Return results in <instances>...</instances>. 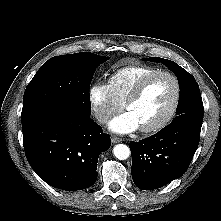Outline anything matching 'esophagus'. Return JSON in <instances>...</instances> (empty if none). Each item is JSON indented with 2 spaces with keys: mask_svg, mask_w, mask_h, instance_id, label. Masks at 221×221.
Returning a JSON list of instances; mask_svg holds the SVG:
<instances>
[{
  "mask_svg": "<svg viewBox=\"0 0 221 221\" xmlns=\"http://www.w3.org/2000/svg\"><path fill=\"white\" fill-rule=\"evenodd\" d=\"M111 140H112L113 143H120V142H122V138H119V137H116V136H113L111 138Z\"/></svg>",
  "mask_w": 221,
  "mask_h": 221,
  "instance_id": "1",
  "label": "esophagus"
}]
</instances>
